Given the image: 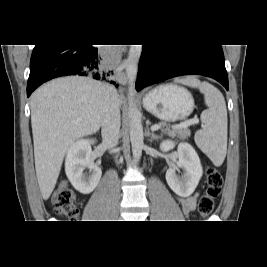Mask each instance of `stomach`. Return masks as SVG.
Wrapping results in <instances>:
<instances>
[{
	"label": "stomach",
	"instance_id": "1",
	"mask_svg": "<svg viewBox=\"0 0 267 267\" xmlns=\"http://www.w3.org/2000/svg\"><path fill=\"white\" fill-rule=\"evenodd\" d=\"M143 107L162 121L175 122L192 113L194 100L187 89L167 84L147 93L143 97Z\"/></svg>",
	"mask_w": 267,
	"mask_h": 267
}]
</instances>
